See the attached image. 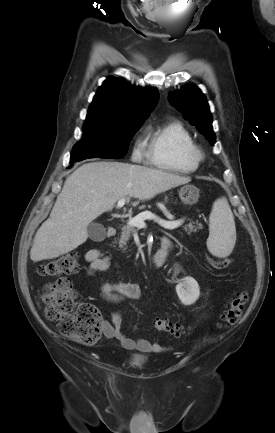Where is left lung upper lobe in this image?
<instances>
[{
	"instance_id": "obj_1",
	"label": "left lung upper lobe",
	"mask_w": 275,
	"mask_h": 433,
	"mask_svg": "<svg viewBox=\"0 0 275 433\" xmlns=\"http://www.w3.org/2000/svg\"><path fill=\"white\" fill-rule=\"evenodd\" d=\"M173 106L180 110L196 128L214 145L215 134L212 129V115L206 97L192 85H187L168 97Z\"/></svg>"
}]
</instances>
